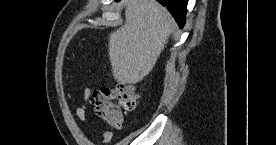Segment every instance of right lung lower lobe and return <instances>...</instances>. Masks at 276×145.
<instances>
[{
	"mask_svg": "<svg viewBox=\"0 0 276 145\" xmlns=\"http://www.w3.org/2000/svg\"><path fill=\"white\" fill-rule=\"evenodd\" d=\"M119 1V0H116ZM162 5L166 6L170 13L175 18L179 27L182 28L185 24L186 7L188 0H157Z\"/></svg>",
	"mask_w": 276,
	"mask_h": 145,
	"instance_id": "obj_1",
	"label": "right lung lower lobe"
}]
</instances>
